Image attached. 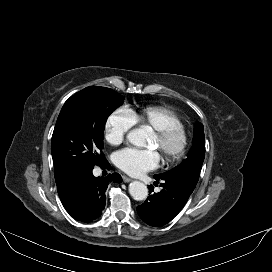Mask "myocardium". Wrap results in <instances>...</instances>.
<instances>
[{"mask_svg":"<svg viewBox=\"0 0 272 272\" xmlns=\"http://www.w3.org/2000/svg\"><path fill=\"white\" fill-rule=\"evenodd\" d=\"M158 139L164 159L167 163L179 161L189 146V132L183 125L170 126L154 131ZM173 141L175 145L171 147Z\"/></svg>","mask_w":272,"mask_h":272,"instance_id":"obj_1","label":"myocardium"}]
</instances>
